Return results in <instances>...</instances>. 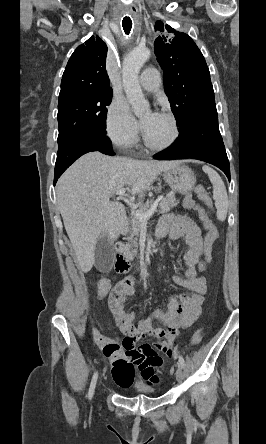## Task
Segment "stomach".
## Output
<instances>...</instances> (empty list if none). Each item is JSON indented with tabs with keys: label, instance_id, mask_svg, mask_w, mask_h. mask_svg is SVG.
Segmentation results:
<instances>
[{
	"label": "stomach",
	"instance_id": "obj_1",
	"mask_svg": "<svg viewBox=\"0 0 266 444\" xmlns=\"http://www.w3.org/2000/svg\"><path fill=\"white\" fill-rule=\"evenodd\" d=\"M165 182L175 192L186 194L192 190L196 183L193 171L182 163L168 169L163 174Z\"/></svg>",
	"mask_w": 266,
	"mask_h": 444
}]
</instances>
